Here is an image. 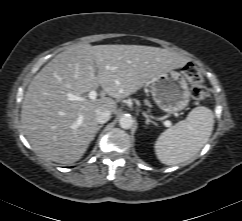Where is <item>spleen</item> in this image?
Instances as JSON below:
<instances>
[{"mask_svg": "<svg viewBox=\"0 0 242 221\" xmlns=\"http://www.w3.org/2000/svg\"><path fill=\"white\" fill-rule=\"evenodd\" d=\"M214 115L207 107L191 110L186 120L165 130L155 142V153L161 163L177 165L195 156L212 134Z\"/></svg>", "mask_w": 242, "mask_h": 221, "instance_id": "1", "label": "spleen"}]
</instances>
